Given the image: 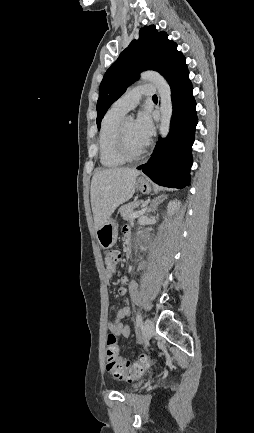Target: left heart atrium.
Wrapping results in <instances>:
<instances>
[{
    "mask_svg": "<svg viewBox=\"0 0 254 433\" xmlns=\"http://www.w3.org/2000/svg\"><path fill=\"white\" fill-rule=\"evenodd\" d=\"M153 123L148 111L139 112L135 121V131L144 142H148L153 134Z\"/></svg>",
    "mask_w": 254,
    "mask_h": 433,
    "instance_id": "obj_1",
    "label": "left heart atrium"
}]
</instances>
